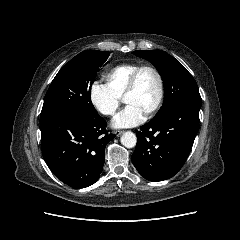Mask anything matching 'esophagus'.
Masks as SVG:
<instances>
[{
	"label": "esophagus",
	"mask_w": 240,
	"mask_h": 240,
	"mask_svg": "<svg viewBox=\"0 0 240 240\" xmlns=\"http://www.w3.org/2000/svg\"><path fill=\"white\" fill-rule=\"evenodd\" d=\"M122 133H123V131H121V130H116V131H114V134H115L117 137H119Z\"/></svg>",
	"instance_id": "obj_1"
}]
</instances>
